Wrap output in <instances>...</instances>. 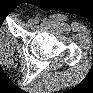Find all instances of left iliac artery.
I'll return each instance as SVG.
<instances>
[{
  "mask_svg": "<svg viewBox=\"0 0 93 93\" xmlns=\"http://www.w3.org/2000/svg\"><path fill=\"white\" fill-rule=\"evenodd\" d=\"M34 22H35V23H39V22H40L39 18H35V19H34Z\"/></svg>",
  "mask_w": 93,
  "mask_h": 93,
  "instance_id": "1",
  "label": "left iliac artery"
}]
</instances>
